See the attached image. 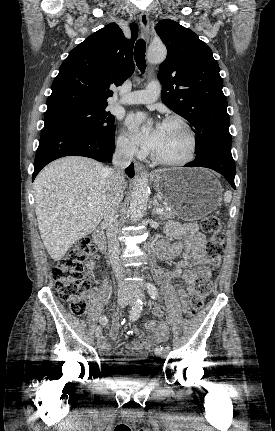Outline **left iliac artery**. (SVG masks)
<instances>
[{
  "instance_id": "1",
  "label": "left iliac artery",
  "mask_w": 275,
  "mask_h": 431,
  "mask_svg": "<svg viewBox=\"0 0 275 431\" xmlns=\"http://www.w3.org/2000/svg\"><path fill=\"white\" fill-rule=\"evenodd\" d=\"M147 292L151 296V298L157 299V297H158V290H157V288L153 284H151V283L147 284ZM163 349H164L163 346H157L156 349H155V353L157 355H161Z\"/></svg>"
}]
</instances>
